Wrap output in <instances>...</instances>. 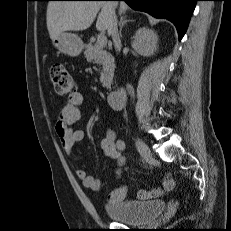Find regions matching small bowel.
<instances>
[{
	"label": "small bowel",
	"instance_id": "c3829d8e",
	"mask_svg": "<svg viewBox=\"0 0 231 231\" xmlns=\"http://www.w3.org/2000/svg\"><path fill=\"white\" fill-rule=\"evenodd\" d=\"M83 104V96L81 93L76 92L69 96L67 102L60 109L54 130L59 138L62 149L71 160L74 159V146L80 142L84 137V132L81 129L73 128L72 125L77 123L82 116L81 107ZM119 141L116 138V133L112 129H107L104 137L99 139L98 146L107 157L117 161L119 166L124 164V157L119 149ZM117 176L121 174L120 168L116 171ZM77 177L82 181L83 185L91 190L98 191L101 188V183L95 177L89 175L85 170H76ZM175 187V180L171 175H167L161 186L151 191H141L138 194L140 199H148L155 197H162L168 191ZM127 189L125 186H120L113 190L107 196L109 204H118L126 198Z\"/></svg>",
	"mask_w": 231,
	"mask_h": 231
}]
</instances>
